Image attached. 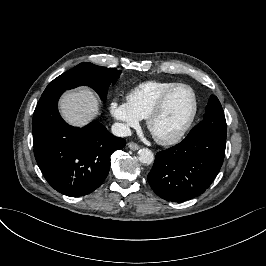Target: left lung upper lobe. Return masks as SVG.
Wrapping results in <instances>:
<instances>
[{"label":"left lung upper lobe","mask_w":266,"mask_h":266,"mask_svg":"<svg viewBox=\"0 0 266 266\" xmlns=\"http://www.w3.org/2000/svg\"><path fill=\"white\" fill-rule=\"evenodd\" d=\"M202 130L226 134L224 111L218 98L214 95H212L209 99L203 120L196 125L188 135Z\"/></svg>","instance_id":"left-lung-upper-lobe-1"}]
</instances>
